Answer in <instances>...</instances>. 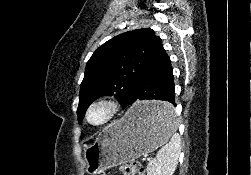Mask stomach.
<instances>
[{
	"label": "stomach",
	"instance_id": "stomach-1",
	"mask_svg": "<svg viewBox=\"0 0 251 175\" xmlns=\"http://www.w3.org/2000/svg\"><path fill=\"white\" fill-rule=\"evenodd\" d=\"M164 105H169V100H138L121 119L103 127L94 143L84 145L87 173L97 175L132 161L166 143L168 134H177V129H163L175 128L176 123L173 114H166L172 106Z\"/></svg>",
	"mask_w": 251,
	"mask_h": 175
}]
</instances>
